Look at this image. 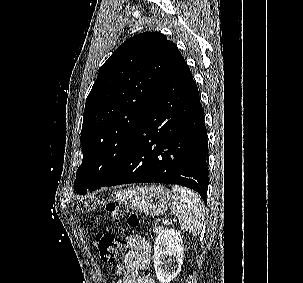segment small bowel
<instances>
[{
	"mask_svg": "<svg viewBox=\"0 0 303 283\" xmlns=\"http://www.w3.org/2000/svg\"><path fill=\"white\" fill-rule=\"evenodd\" d=\"M128 250L116 269L117 283H155L150 276H140L139 271L146 269L152 251L148 241L137 235L127 237Z\"/></svg>",
	"mask_w": 303,
	"mask_h": 283,
	"instance_id": "obj_1",
	"label": "small bowel"
}]
</instances>
